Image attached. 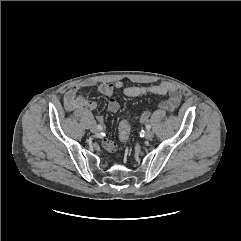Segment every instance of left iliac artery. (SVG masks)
I'll list each match as a JSON object with an SVG mask.
<instances>
[{
    "instance_id": "obj_1",
    "label": "left iliac artery",
    "mask_w": 241,
    "mask_h": 241,
    "mask_svg": "<svg viewBox=\"0 0 241 241\" xmlns=\"http://www.w3.org/2000/svg\"><path fill=\"white\" fill-rule=\"evenodd\" d=\"M150 128H151V125H150V124H147V125H146V129L150 130Z\"/></svg>"
}]
</instances>
